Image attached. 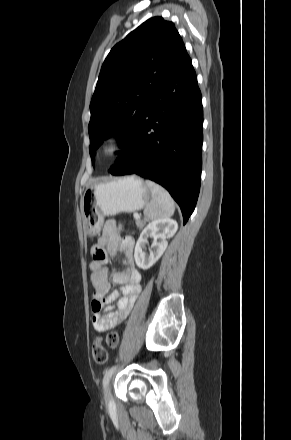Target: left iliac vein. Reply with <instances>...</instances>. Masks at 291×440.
<instances>
[{"instance_id":"1","label":"left iliac vein","mask_w":291,"mask_h":440,"mask_svg":"<svg viewBox=\"0 0 291 440\" xmlns=\"http://www.w3.org/2000/svg\"><path fill=\"white\" fill-rule=\"evenodd\" d=\"M106 394H107V396L110 398V388H109V387H108L107 390H106Z\"/></svg>"}]
</instances>
